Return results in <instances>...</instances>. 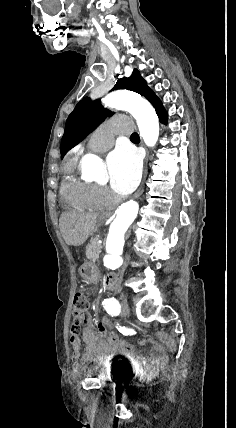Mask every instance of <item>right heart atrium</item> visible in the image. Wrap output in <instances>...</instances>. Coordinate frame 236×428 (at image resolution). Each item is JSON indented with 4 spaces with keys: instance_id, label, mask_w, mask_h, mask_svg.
I'll use <instances>...</instances> for the list:
<instances>
[{
    "instance_id": "d8ad5b80",
    "label": "right heart atrium",
    "mask_w": 236,
    "mask_h": 428,
    "mask_svg": "<svg viewBox=\"0 0 236 428\" xmlns=\"http://www.w3.org/2000/svg\"><path fill=\"white\" fill-rule=\"evenodd\" d=\"M99 192L103 199L110 196V193L105 188H99Z\"/></svg>"
}]
</instances>
